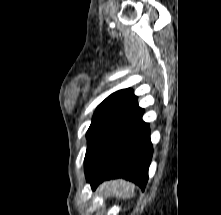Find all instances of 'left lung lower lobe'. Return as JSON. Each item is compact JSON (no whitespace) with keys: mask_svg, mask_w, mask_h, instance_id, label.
<instances>
[{"mask_svg":"<svg viewBox=\"0 0 221 215\" xmlns=\"http://www.w3.org/2000/svg\"><path fill=\"white\" fill-rule=\"evenodd\" d=\"M143 113L136 101L112 124L86 174L93 190L104 180L115 178H124L145 189L153 149Z\"/></svg>","mask_w":221,"mask_h":215,"instance_id":"obj_1","label":"left lung lower lobe"}]
</instances>
